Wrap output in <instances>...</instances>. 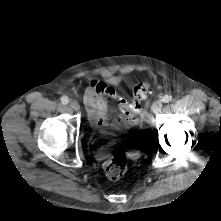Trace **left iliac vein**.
<instances>
[{"mask_svg":"<svg viewBox=\"0 0 221 221\" xmlns=\"http://www.w3.org/2000/svg\"><path fill=\"white\" fill-rule=\"evenodd\" d=\"M162 109V103L160 101H156L152 104L151 106V111L154 113V114H157L161 111Z\"/></svg>","mask_w":221,"mask_h":221,"instance_id":"4c4485c4","label":"left iliac vein"}]
</instances>
